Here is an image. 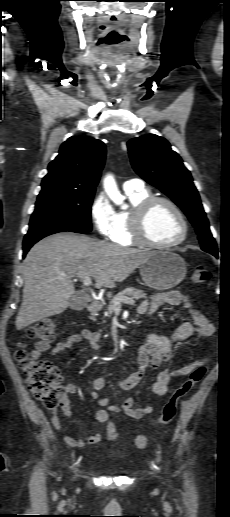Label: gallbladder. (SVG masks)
<instances>
[{
    "label": "gallbladder",
    "instance_id": "1",
    "mask_svg": "<svg viewBox=\"0 0 230 517\" xmlns=\"http://www.w3.org/2000/svg\"><path fill=\"white\" fill-rule=\"evenodd\" d=\"M88 297L82 292H76L71 300L70 307L74 310H80L87 304Z\"/></svg>",
    "mask_w": 230,
    "mask_h": 517
}]
</instances>
